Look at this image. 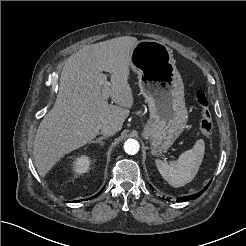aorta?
I'll return each instance as SVG.
<instances>
[{
  "label": "aorta",
  "mask_w": 246,
  "mask_h": 246,
  "mask_svg": "<svg viewBox=\"0 0 246 246\" xmlns=\"http://www.w3.org/2000/svg\"><path fill=\"white\" fill-rule=\"evenodd\" d=\"M139 142L135 139H128L124 143V151L129 155H135L139 151Z\"/></svg>",
  "instance_id": "762f6f07"
}]
</instances>
